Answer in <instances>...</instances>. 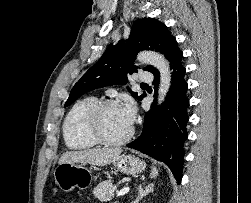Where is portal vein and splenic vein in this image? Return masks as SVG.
Here are the masks:
<instances>
[{
  "label": "portal vein and splenic vein",
  "mask_w": 251,
  "mask_h": 203,
  "mask_svg": "<svg viewBox=\"0 0 251 203\" xmlns=\"http://www.w3.org/2000/svg\"><path fill=\"white\" fill-rule=\"evenodd\" d=\"M130 188L129 187H124L120 191L117 192V196H123L129 192Z\"/></svg>",
  "instance_id": "portal-vein-and-splenic-vein-1"
}]
</instances>
